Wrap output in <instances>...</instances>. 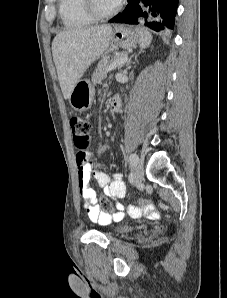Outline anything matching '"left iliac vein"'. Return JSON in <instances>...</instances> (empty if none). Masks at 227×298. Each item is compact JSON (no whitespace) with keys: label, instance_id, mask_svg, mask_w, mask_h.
I'll use <instances>...</instances> for the list:
<instances>
[{"label":"left iliac vein","instance_id":"1","mask_svg":"<svg viewBox=\"0 0 227 298\" xmlns=\"http://www.w3.org/2000/svg\"><path fill=\"white\" fill-rule=\"evenodd\" d=\"M144 176V168L143 165L141 163H138L135 167V171H134V182L135 183H139L142 181Z\"/></svg>","mask_w":227,"mask_h":298}]
</instances>
